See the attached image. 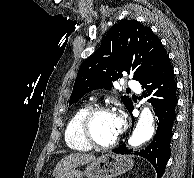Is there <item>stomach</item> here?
I'll return each mask as SVG.
<instances>
[{
    "label": "stomach",
    "mask_w": 194,
    "mask_h": 178,
    "mask_svg": "<svg viewBox=\"0 0 194 178\" xmlns=\"http://www.w3.org/2000/svg\"><path fill=\"white\" fill-rule=\"evenodd\" d=\"M134 161L129 156L103 154L90 162L84 171L70 169L56 178H113L132 169Z\"/></svg>",
    "instance_id": "1"
}]
</instances>
